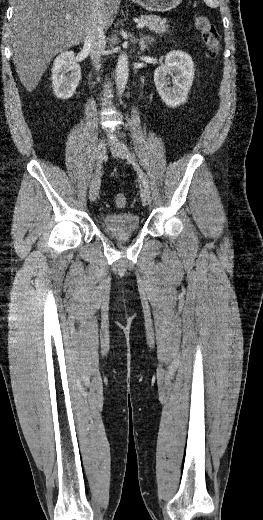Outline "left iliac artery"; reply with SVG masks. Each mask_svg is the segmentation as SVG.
<instances>
[{
	"instance_id": "obj_1",
	"label": "left iliac artery",
	"mask_w": 263,
	"mask_h": 520,
	"mask_svg": "<svg viewBox=\"0 0 263 520\" xmlns=\"http://www.w3.org/2000/svg\"><path fill=\"white\" fill-rule=\"evenodd\" d=\"M128 159L129 161L132 163L135 171L137 172V174L139 175V178L141 179V182H142V185L144 188L148 189L149 190V182L148 180L144 177L143 175V172L142 170L140 169L137 161H136V158L134 156V154H132L129 150H128Z\"/></svg>"
}]
</instances>
